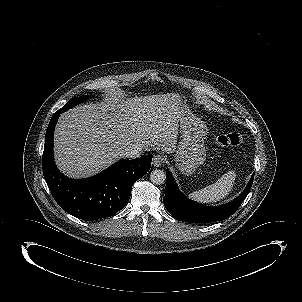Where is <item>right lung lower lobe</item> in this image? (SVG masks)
<instances>
[{"label": "right lung lower lobe", "instance_id": "obj_1", "mask_svg": "<svg viewBox=\"0 0 302 302\" xmlns=\"http://www.w3.org/2000/svg\"><path fill=\"white\" fill-rule=\"evenodd\" d=\"M60 114L55 112L50 120L43 152V174L53 198L64 211L83 220L114 215L127 205L133 184L150 170L153 156L119 161L87 179H70L58 171L53 158V134Z\"/></svg>", "mask_w": 302, "mask_h": 302}]
</instances>
